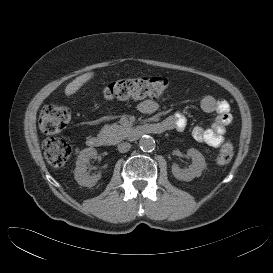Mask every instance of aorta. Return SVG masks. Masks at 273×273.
Instances as JSON below:
<instances>
[{
    "label": "aorta",
    "mask_w": 273,
    "mask_h": 273,
    "mask_svg": "<svg viewBox=\"0 0 273 273\" xmlns=\"http://www.w3.org/2000/svg\"><path fill=\"white\" fill-rule=\"evenodd\" d=\"M139 146L142 151L151 152L155 149L156 144L153 137L145 135L140 139Z\"/></svg>",
    "instance_id": "aorta-1"
}]
</instances>
